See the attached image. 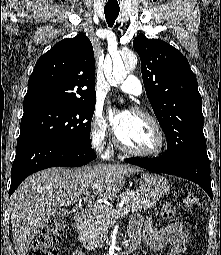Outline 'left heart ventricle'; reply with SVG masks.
I'll return each mask as SVG.
<instances>
[{
  "instance_id": "b2bd125f",
  "label": "left heart ventricle",
  "mask_w": 221,
  "mask_h": 255,
  "mask_svg": "<svg viewBox=\"0 0 221 255\" xmlns=\"http://www.w3.org/2000/svg\"><path fill=\"white\" fill-rule=\"evenodd\" d=\"M117 135L124 145L135 150L147 151L157 144V133L153 125L132 112L128 113V118Z\"/></svg>"
}]
</instances>
